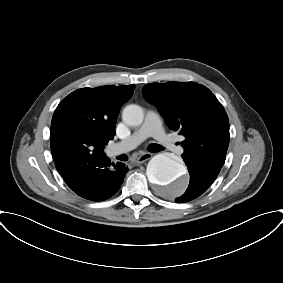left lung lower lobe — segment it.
I'll return each mask as SVG.
<instances>
[{
  "label": "left lung lower lobe",
  "instance_id": "left-lung-lower-lobe-1",
  "mask_svg": "<svg viewBox=\"0 0 283 283\" xmlns=\"http://www.w3.org/2000/svg\"><path fill=\"white\" fill-rule=\"evenodd\" d=\"M187 167L191 175L190 183L186 192L177 198L176 202H188L197 198L210 187L217 177V175L200 170L191 164H187Z\"/></svg>",
  "mask_w": 283,
  "mask_h": 283
}]
</instances>
